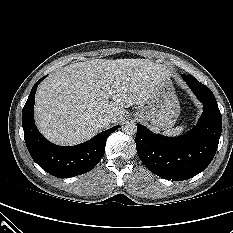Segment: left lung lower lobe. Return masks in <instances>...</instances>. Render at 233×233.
I'll use <instances>...</instances> for the list:
<instances>
[{
    "instance_id": "0a47b994",
    "label": "left lung lower lobe",
    "mask_w": 233,
    "mask_h": 233,
    "mask_svg": "<svg viewBox=\"0 0 233 233\" xmlns=\"http://www.w3.org/2000/svg\"><path fill=\"white\" fill-rule=\"evenodd\" d=\"M182 78L203 104L197 125L180 137L153 134L137 124L136 148L144 165L154 174L173 181L199 174L212 161L222 130V116L212 91L193 76Z\"/></svg>"
}]
</instances>
